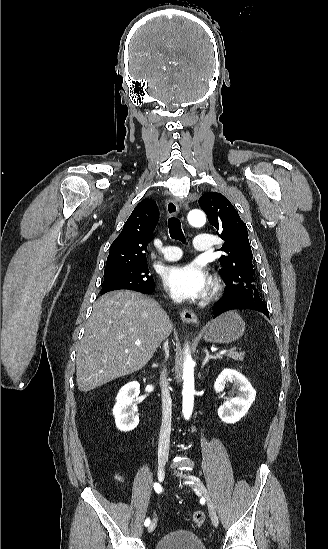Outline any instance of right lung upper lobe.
<instances>
[{
  "label": "right lung upper lobe",
  "instance_id": "obj_1",
  "mask_svg": "<svg viewBox=\"0 0 328 549\" xmlns=\"http://www.w3.org/2000/svg\"><path fill=\"white\" fill-rule=\"evenodd\" d=\"M159 219L156 202L142 200L123 226L122 232L110 246L104 271L147 263V246Z\"/></svg>",
  "mask_w": 328,
  "mask_h": 549
}]
</instances>
